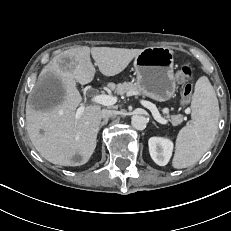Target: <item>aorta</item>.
Returning a JSON list of instances; mask_svg holds the SVG:
<instances>
[{
    "label": "aorta",
    "mask_w": 231,
    "mask_h": 231,
    "mask_svg": "<svg viewBox=\"0 0 231 231\" xmlns=\"http://www.w3.org/2000/svg\"><path fill=\"white\" fill-rule=\"evenodd\" d=\"M132 126L137 130H143L146 128L147 119L144 116L136 115L131 120Z\"/></svg>",
    "instance_id": "obj_1"
}]
</instances>
